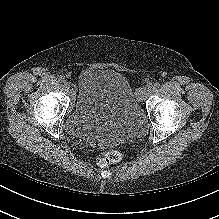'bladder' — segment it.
Returning a JSON list of instances; mask_svg holds the SVG:
<instances>
[{
	"mask_svg": "<svg viewBox=\"0 0 219 219\" xmlns=\"http://www.w3.org/2000/svg\"><path fill=\"white\" fill-rule=\"evenodd\" d=\"M76 98L65 125L71 135L111 145L136 137L147 122L129 81L111 70L86 69L75 84Z\"/></svg>",
	"mask_w": 219,
	"mask_h": 219,
	"instance_id": "31cf9c89",
	"label": "bladder"
}]
</instances>
